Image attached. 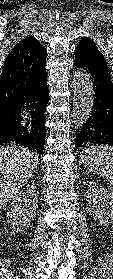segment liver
I'll list each match as a JSON object with an SVG mask.
<instances>
[{
    "label": "liver",
    "mask_w": 113,
    "mask_h": 279,
    "mask_svg": "<svg viewBox=\"0 0 113 279\" xmlns=\"http://www.w3.org/2000/svg\"><path fill=\"white\" fill-rule=\"evenodd\" d=\"M38 159L37 153L22 146H0V207L28 182Z\"/></svg>",
    "instance_id": "1"
}]
</instances>
